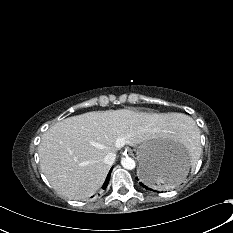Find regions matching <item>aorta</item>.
Returning a JSON list of instances; mask_svg holds the SVG:
<instances>
[{
  "label": "aorta",
  "mask_w": 233,
  "mask_h": 233,
  "mask_svg": "<svg viewBox=\"0 0 233 233\" xmlns=\"http://www.w3.org/2000/svg\"><path fill=\"white\" fill-rule=\"evenodd\" d=\"M121 165L127 170H132L135 168V161L130 157H123L121 159Z\"/></svg>",
  "instance_id": "aorta-1"
}]
</instances>
